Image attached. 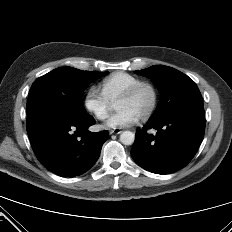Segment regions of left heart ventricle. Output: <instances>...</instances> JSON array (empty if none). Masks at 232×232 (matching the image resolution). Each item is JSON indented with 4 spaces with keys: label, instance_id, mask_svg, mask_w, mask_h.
<instances>
[{
    "label": "left heart ventricle",
    "instance_id": "obj_1",
    "mask_svg": "<svg viewBox=\"0 0 232 232\" xmlns=\"http://www.w3.org/2000/svg\"><path fill=\"white\" fill-rule=\"evenodd\" d=\"M151 101V90L149 88H143L132 99L116 102L115 107L116 109H129L140 117L148 109Z\"/></svg>",
    "mask_w": 232,
    "mask_h": 232
}]
</instances>
